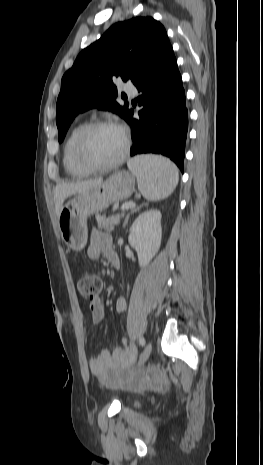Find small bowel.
Here are the masks:
<instances>
[{"instance_id":"1","label":"small bowel","mask_w":263,"mask_h":465,"mask_svg":"<svg viewBox=\"0 0 263 465\" xmlns=\"http://www.w3.org/2000/svg\"><path fill=\"white\" fill-rule=\"evenodd\" d=\"M112 252L115 251L111 236L99 230H93L87 248L88 258L92 261L98 260L101 256L109 259ZM89 309L92 323H100L104 317V307L101 300L96 298L90 302ZM115 309L118 314L126 311L127 301L124 297L120 296L116 299ZM134 356V348L124 341V346L115 348L112 353L101 349L94 354L90 359V369L101 383L111 388L118 386L143 388L146 385L160 388L164 378L158 371L131 372L130 366Z\"/></svg>"}]
</instances>
